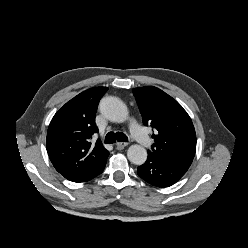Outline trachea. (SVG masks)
<instances>
[{
  "label": "trachea",
  "instance_id": "3493384b",
  "mask_svg": "<svg viewBox=\"0 0 248 248\" xmlns=\"http://www.w3.org/2000/svg\"><path fill=\"white\" fill-rule=\"evenodd\" d=\"M118 142H128V137L122 132H109L105 137L106 144Z\"/></svg>",
  "mask_w": 248,
  "mask_h": 248
}]
</instances>
